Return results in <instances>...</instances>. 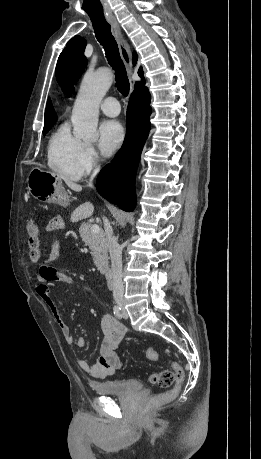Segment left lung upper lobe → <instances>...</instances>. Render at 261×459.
<instances>
[{
	"mask_svg": "<svg viewBox=\"0 0 261 459\" xmlns=\"http://www.w3.org/2000/svg\"><path fill=\"white\" fill-rule=\"evenodd\" d=\"M82 41L79 36L72 38L60 54L57 62L56 78L63 92L68 96L73 91V84L77 82L86 66Z\"/></svg>",
	"mask_w": 261,
	"mask_h": 459,
	"instance_id": "1",
	"label": "left lung upper lobe"
}]
</instances>
